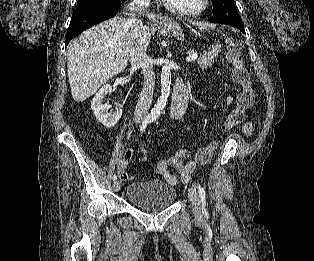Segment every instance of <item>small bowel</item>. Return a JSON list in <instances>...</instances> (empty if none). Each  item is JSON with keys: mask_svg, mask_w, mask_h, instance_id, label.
<instances>
[{"mask_svg": "<svg viewBox=\"0 0 314 261\" xmlns=\"http://www.w3.org/2000/svg\"><path fill=\"white\" fill-rule=\"evenodd\" d=\"M225 101L227 104H230L232 102V98L227 96ZM172 119L182 125L186 134L191 133L192 124L187 120L183 112L172 114ZM242 130L245 136L251 135L252 129L248 123L243 124ZM135 151H140L143 155L142 158L146 157L145 151L141 147H136L129 149L121 158H119L117 161V172L121 181H128L132 179V176L128 174L125 169L131 161L132 155ZM192 157L193 153L186 148H178L172 152L169 162L176 169L179 177L169 171L168 161L165 159H160L157 162V170L167 183L171 185H177L179 183V179L184 181L189 179V173L195 167L190 165ZM185 160L187 161L185 162Z\"/></svg>", "mask_w": 314, "mask_h": 261, "instance_id": "c3829d8e", "label": "small bowel"}]
</instances>
